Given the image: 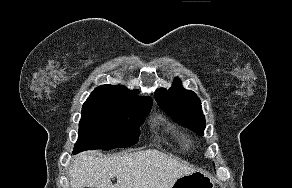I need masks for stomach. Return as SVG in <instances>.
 Segmentation results:
<instances>
[{"instance_id":"stomach-1","label":"stomach","mask_w":292,"mask_h":188,"mask_svg":"<svg viewBox=\"0 0 292 188\" xmlns=\"http://www.w3.org/2000/svg\"><path fill=\"white\" fill-rule=\"evenodd\" d=\"M171 188H215V181L209 173L197 170L178 178Z\"/></svg>"}]
</instances>
